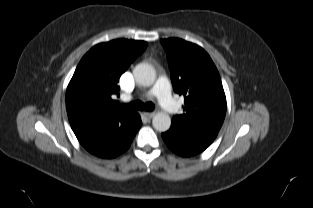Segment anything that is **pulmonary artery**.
<instances>
[{
    "label": "pulmonary artery",
    "instance_id": "pulmonary-artery-1",
    "mask_svg": "<svg viewBox=\"0 0 313 208\" xmlns=\"http://www.w3.org/2000/svg\"><path fill=\"white\" fill-rule=\"evenodd\" d=\"M143 96L157 97L160 106L169 114H175L178 109L177 103L171 97L169 81L165 77L158 78L154 87L144 93Z\"/></svg>",
    "mask_w": 313,
    "mask_h": 208
}]
</instances>
